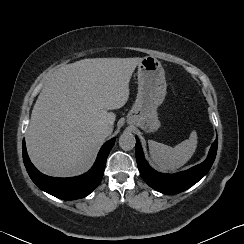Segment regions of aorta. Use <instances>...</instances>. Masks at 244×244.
<instances>
[{
    "mask_svg": "<svg viewBox=\"0 0 244 244\" xmlns=\"http://www.w3.org/2000/svg\"><path fill=\"white\" fill-rule=\"evenodd\" d=\"M135 137L133 134L124 132L120 137H119V146L122 150L124 151H130L135 147Z\"/></svg>",
    "mask_w": 244,
    "mask_h": 244,
    "instance_id": "aorta-1",
    "label": "aorta"
}]
</instances>
